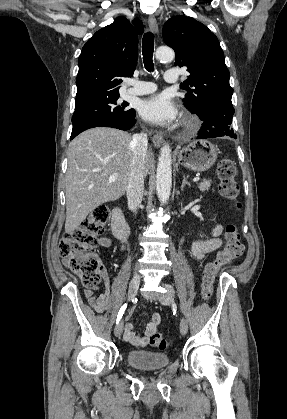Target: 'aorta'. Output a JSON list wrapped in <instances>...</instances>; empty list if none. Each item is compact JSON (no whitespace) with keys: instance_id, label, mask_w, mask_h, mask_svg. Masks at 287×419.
Segmentation results:
<instances>
[{"instance_id":"aorta-1","label":"aorta","mask_w":287,"mask_h":419,"mask_svg":"<svg viewBox=\"0 0 287 419\" xmlns=\"http://www.w3.org/2000/svg\"><path fill=\"white\" fill-rule=\"evenodd\" d=\"M174 51L169 47H159L156 50V58L160 61H172ZM171 148L165 143L160 150L156 173V192L161 204H166L170 197L172 187Z\"/></svg>"}]
</instances>
